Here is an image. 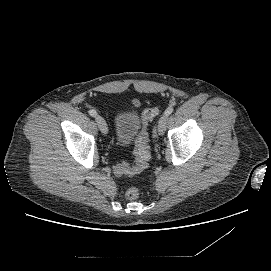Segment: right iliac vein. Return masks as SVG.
Wrapping results in <instances>:
<instances>
[{
	"label": "right iliac vein",
	"instance_id": "1",
	"mask_svg": "<svg viewBox=\"0 0 271 271\" xmlns=\"http://www.w3.org/2000/svg\"><path fill=\"white\" fill-rule=\"evenodd\" d=\"M95 120H96V123H97L100 131L103 134H107L108 133V127H107V123L104 120V118H102L101 116H96Z\"/></svg>",
	"mask_w": 271,
	"mask_h": 271
}]
</instances>
